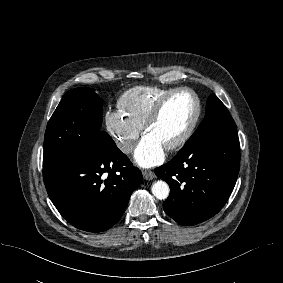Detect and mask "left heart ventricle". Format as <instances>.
<instances>
[{
	"instance_id": "obj_1",
	"label": "left heart ventricle",
	"mask_w": 283,
	"mask_h": 283,
	"mask_svg": "<svg viewBox=\"0 0 283 283\" xmlns=\"http://www.w3.org/2000/svg\"><path fill=\"white\" fill-rule=\"evenodd\" d=\"M196 110V105L187 93L173 96L163 107L159 117L145 135L158 141L165 148L185 131Z\"/></svg>"
}]
</instances>
